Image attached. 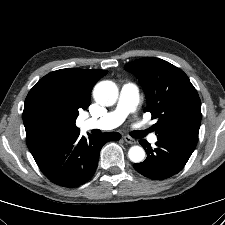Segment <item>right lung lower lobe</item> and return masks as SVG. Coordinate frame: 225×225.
<instances>
[{"label": "right lung lower lobe", "mask_w": 225, "mask_h": 225, "mask_svg": "<svg viewBox=\"0 0 225 225\" xmlns=\"http://www.w3.org/2000/svg\"><path fill=\"white\" fill-rule=\"evenodd\" d=\"M117 132H107L101 137L80 132H67L46 136L28 146L42 173L53 183L63 187H78L95 173L102 146L119 140Z\"/></svg>", "instance_id": "obj_1"}]
</instances>
